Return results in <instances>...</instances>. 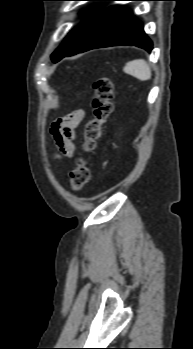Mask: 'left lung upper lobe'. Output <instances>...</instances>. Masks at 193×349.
I'll use <instances>...</instances> for the list:
<instances>
[{"label": "left lung upper lobe", "mask_w": 193, "mask_h": 349, "mask_svg": "<svg viewBox=\"0 0 193 349\" xmlns=\"http://www.w3.org/2000/svg\"><path fill=\"white\" fill-rule=\"evenodd\" d=\"M88 1H111V0H88ZM99 14L89 17L73 29L65 38L60 47L51 55L52 61L62 54L68 52L81 38L83 33L91 25V23L98 17Z\"/></svg>", "instance_id": "5c2ea615"}]
</instances>
